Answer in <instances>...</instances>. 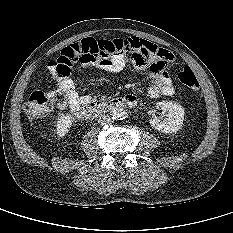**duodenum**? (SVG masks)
Masks as SVG:
<instances>
[{"label":"duodenum","mask_w":233,"mask_h":233,"mask_svg":"<svg viewBox=\"0 0 233 233\" xmlns=\"http://www.w3.org/2000/svg\"><path fill=\"white\" fill-rule=\"evenodd\" d=\"M136 104L137 100L134 96L119 97L106 102H89L80 108L79 115L90 119L117 108H132Z\"/></svg>","instance_id":"410a0bca"}]
</instances>
